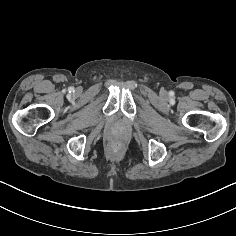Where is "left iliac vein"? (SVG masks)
<instances>
[{
	"label": "left iliac vein",
	"instance_id": "obj_1",
	"mask_svg": "<svg viewBox=\"0 0 236 236\" xmlns=\"http://www.w3.org/2000/svg\"><path fill=\"white\" fill-rule=\"evenodd\" d=\"M160 96L163 97V98L166 97L167 96V91L164 90V89H161L160 90Z\"/></svg>",
	"mask_w": 236,
	"mask_h": 236
}]
</instances>
